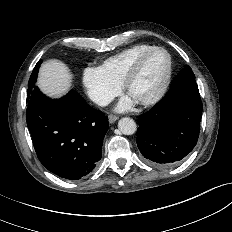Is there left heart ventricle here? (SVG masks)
Here are the masks:
<instances>
[{"instance_id": "1", "label": "left heart ventricle", "mask_w": 232, "mask_h": 232, "mask_svg": "<svg viewBox=\"0 0 232 232\" xmlns=\"http://www.w3.org/2000/svg\"><path fill=\"white\" fill-rule=\"evenodd\" d=\"M167 71V56L163 52L150 54L128 88V95L136 101L153 96L160 88Z\"/></svg>"}]
</instances>
